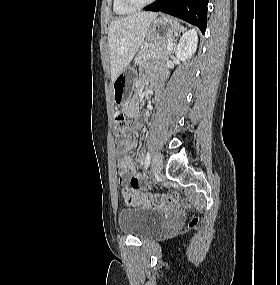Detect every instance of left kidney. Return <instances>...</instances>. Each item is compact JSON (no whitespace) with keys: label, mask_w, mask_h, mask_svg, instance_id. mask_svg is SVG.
<instances>
[{"label":"left kidney","mask_w":280,"mask_h":285,"mask_svg":"<svg viewBox=\"0 0 280 285\" xmlns=\"http://www.w3.org/2000/svg\"><path fill=\"white\" fill-rule=\"evenodd\" d=\"M198 37L195 29H190L182 35L177 45L175 55L179 60L191 58L197 49Z\"/></svg>","instance_id":"1"}]
</instances>
